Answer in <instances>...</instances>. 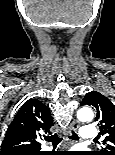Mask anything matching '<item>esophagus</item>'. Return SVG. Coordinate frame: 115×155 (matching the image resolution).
Here are the masks:
<instances>
[{
  "label": "esophagus",
  "mask_w": 115,
  "mask_h": 155,
  "mask_svg": "<svg viewBox=\"0 0 115 155\" xmlns=\"http://www.w3.org/2000/svg\"><path fill=\"white\" fill-rule=\"evenodd\" d=\"M78 127H79L78 121L74 120L70 125L69 134H71L72 132H75L78 129Z\"/></svg>",
  "instance_id": "1"
}]
</instances>
